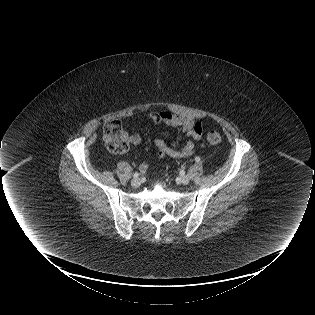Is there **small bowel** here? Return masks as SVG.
<instances>
[{
  "mask_svg": "<svg viewBox=\"0 0 315 315\" xmlns=\"http://www.w3.org/2000/svg\"><path fill=\"white\" fill-rule=\"evenodd\" d=\"M147 117L153 121L156 127L162 124L169 128L175 129L179 134L184 135L187 140L184 144H181L180 139L168 145L162 138L154 139V145L157 150V157L163 159L168 156L174 159H184L191 157L196 151V140H200L203 136V125L199 121H195L191 118L177 115L169 111H157L147 113ZM168 136V134H166ZM141 137L137 134L130 135L128 137L129 144L137 146L141 143ZM149 165L142 163L139 165L141 172H146Z\"/></svg>",
  "mask_w": 315,
  "mask_h": 315,
  "instance_id": "obj_1",
  "label": "small bowel"
}]
</instances>
